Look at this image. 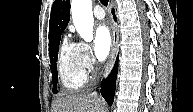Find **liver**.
<instances>
[{
	"label": "liver",
	"instance_id": "obj_1",
	"mask_svg": "<svg viewBox=\"0 0 193 112\" xmlns=\"http://www.w3.org/2000/svg\"><path fill=\"white\" fill-rule=\"evenodd\" d=\"M52 112H104L105 102L97 94L68 95L58 98Z\"/></svg>",
	"mask_w": 193,
	"mask_h": 112
}]
</instances>
